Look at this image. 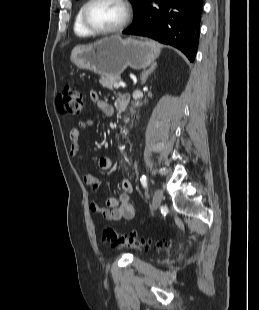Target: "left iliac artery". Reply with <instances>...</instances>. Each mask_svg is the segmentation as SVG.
Segmentation results:
<instances>
[{
  "instance_id": "left-iliac-artery-1",
  "label": "left iliac artery",
  "mask_w": 259,
  "mask_h": 310,
  "mask_svg": "<svg viewBox=\"0 0 259 310\" xmlns=\"http://www.w3.org/2000/svg\"><path fill=\"white\" fill-rule=\"evenodd\" d=\"M140 181H141V184L144 188L147 187V178L145 175H142L141 178H140Z\"/></svg>"
}]
</instances>
